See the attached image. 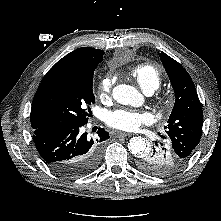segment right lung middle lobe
Masks as SVG:
<instances>
[{"label": "right lung middle lobe", "instance_id": "dd1d6c3e", "mask_svg": "<svg viewBox=\"0 0 221 221\" xmlns=\"http://www.w3.org/2000/svg\"><path fill=\"white\" fill-rule=\"evenodd\" d=\"M100 62L88 61L73 70L42 80L34 101L37 115L46 128H73L88 122L90 105L95 99L93 75Z\"/></svg>", "mask_w": 221, "mask_h": 221}]
</instances>
